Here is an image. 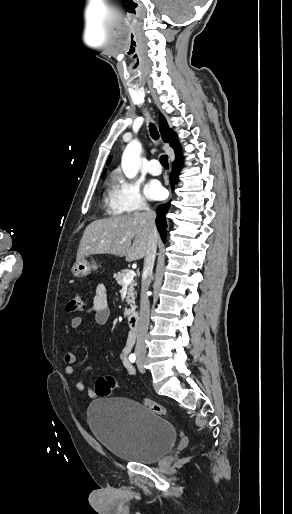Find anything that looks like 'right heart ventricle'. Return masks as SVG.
I'll return each mask as SVG.
<instances>
[{"instance_id": "right-heart-ventricle-1", "label": "right heart ventricle", "mask_w": 292, "mask_h": 514, "mask_svg": "<svg viewBox=\"0 0 292 514\" xmlns=\"http://www.w3.org/2000/svg\"><path fill=\"white\" fill-rule=\"evenodd\" d=\"M103 206L105 212L109 216H116L122 213V210L115 203L111 190L103 194Z\"/></svg>"}]
</instances>
